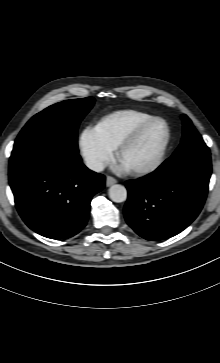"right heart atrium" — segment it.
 Masks as SVG:
<instances>
[{
    "label": "right heart atrium",
    "mask_w": 220,
    "mask_h": 363,
    "mask_svg": "<svg viewBox=\"0 0 220 363\" xmlns=\"http://www.w3.org/2000/svg\"><path fill=\"white\" fill-rule=\"evenodd\" d=\"M79 149L86 166L102 170L113 158V149L99 136L95 127H86L79 136Z\"/></svg>",
    "instance_id": "d8ad5b80"
}]
</instances>
